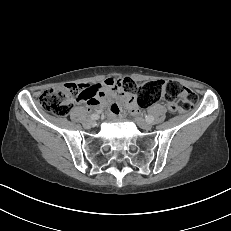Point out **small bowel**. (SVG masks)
I'll use <instances>...</instances> for the list:
<instances>
[{
  "instance_id": "small-bowel-1",
  "label": "small bowel",
  "mask_w": 231,
  "mask_h": 231,
  "mask_svg": "<svg viewBox=\"0 0 231 231\" xmlns=\"http://www.w3.org/2000/svg\"><path fill=\"white\" fill-rule=\"evenodd\" d=\"M119 80L115 77H109L104 81L95 84H82L80 87L86 90L88 94L79 100V102H85L92 107H103L108 104L112 98H118L125 106L134 112H138V107L136 101L132 95H129L119 88L116 87ZM120 106L117 104H112L109 107V113H118Z\"/></svg>"
}]
</instances>
